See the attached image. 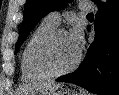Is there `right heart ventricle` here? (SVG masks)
Instances as JSON below:
<instances>
[{
  "mask_svg": "<svg viewBox=\"0 0 119 95\" xmlns=\"http://www.w3.org/2000/svg\"><path fill=\"white\" fill-rule=\"evenodd\" d=\"M57 25L44 19L31 33L22 52H21V72L25 81L45 80L49 76L38 66L36 60L37 49L41 41L54 29Z\"/></svg>",
  "mask_w": 119,
  "mask_h": 95,
  "instance_id": "obj_1",
  "label": "right heart ventricle"
}]
</instances>
